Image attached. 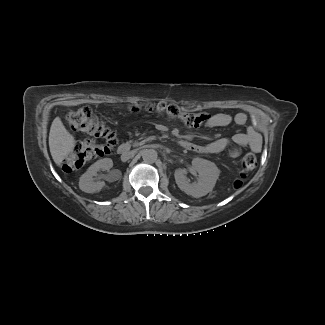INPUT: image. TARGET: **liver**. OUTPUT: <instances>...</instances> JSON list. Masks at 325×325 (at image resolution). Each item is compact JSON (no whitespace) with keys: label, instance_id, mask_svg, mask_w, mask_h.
<instances>
[{"label":"liver","instance_id":"6515ba94","mask_svg":"<svg viewBox=\"0 0 325 325\" xmlns=\"http://www.w3.org/2000/svg\"><path fill=\"white\" fill-rule=\"evenodd\" d=\"M76 141L67 131L61 119L56 117L49 133V148L54 162L60 166L67 155L74 149Z\"/></svg>","mask_w":325,"mask_h":325}]
</instances>
